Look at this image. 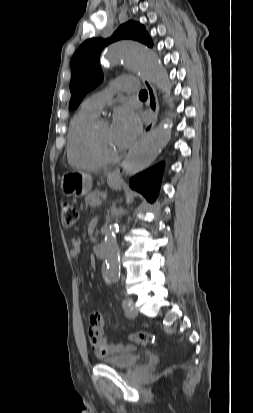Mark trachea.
Returning <instances> with one entry per match:
<instances>
[{
  "mask_svg": "<svg viewBox=\"0 0 253 413\" xmlns=\"http://www.w3.org/2000/svg\"><path fill=\"white\" fill-rule=\"evenodd\" d=\"M139 96L140 97H147L148 96L147 91L146 90L140 91Z\"/></svg>",
  "mask_w": 253,
  "mask_h": 413,
  "instance_id": "obj_1",
  "label": "trachea"
}]
</instances>
